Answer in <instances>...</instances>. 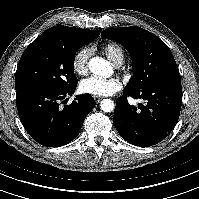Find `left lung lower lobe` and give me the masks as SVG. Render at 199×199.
I'll list each match as a JSON object with an SVG mask.
<instances>
[{
	"label": "left lung lower lobe",
	"mask_w": 199,
	"mask_h": 199,
	"mask_svg": "<svg viewBox=\"0 0 199 199\" xmlns=\"http://www.w3.org/2000/svg\"><path fill=\"white\" fill-rule=\"evenodd\" d=\"M123 94L145 101V105L140 103L136 108L128 103L126 96L116 100L113 122L128 143L149 147L173 130L182 104L180 79L158 82L136 92L124 89Z\"/></svg>",
	"instance_id": "left-lung-lower-lobe-1"
}]
</instances>
